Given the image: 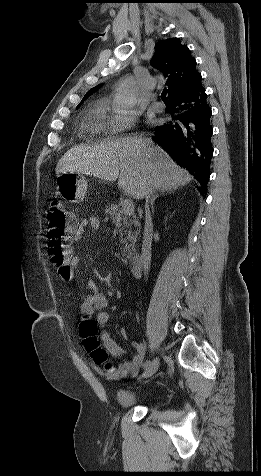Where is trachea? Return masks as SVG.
<instances>
[{
	"label": "trachea",
	"mask_w": 261,
	"mask_h": 476,
	"mask_svg": "<svg viewBox=\"0 0 261 476\" xmlns=\"http://www.w3.org/2000/svg\"><path fill=\"white\" fill-rule=\"evenodd\" d=\"M166 94H167L166 91H163V92L161 93V99H162L164 102H167V101H168V99H167V97H166Z\"/></svg>",
	"instance_id": "trachea-1"
}]
</instances>
